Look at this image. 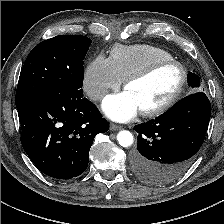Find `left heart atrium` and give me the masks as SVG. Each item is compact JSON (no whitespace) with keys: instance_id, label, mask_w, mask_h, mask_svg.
<instances>
[{"instance_id":"left-heart-atrium-1","label":"left heart atrium","mask_w":224,"mask_h":224,"mask_svg":"<svg viewBox=\"0 0 224 224\" xmlns=\"http://www.w3.org/2000/svg\"><path fill=\"white\" fill-rule=\"evenodd\" d=\"M102 109L110 119L118 122L131 120L140 111L137 101L127 91L106 97Z\"/></svg>"}]
</instances>
